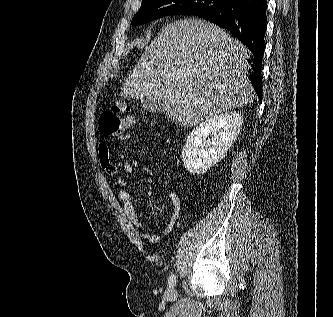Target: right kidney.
<instances>
[{"label": "right kidney", "instance_id": "1", "mask_svg": "<svg viewBox=\"0 0 333 317\" xmlns=\"http://www.w3.org/2000/svg\"><path fill=\"white\" fill-rule=\"evenodd\" d=\"M242 123L241 114L233 111L210 117L194 128L181 154L187 171L202 174L217 164L236 140Z\"/></svg>", "mask_w": 333, "mask_h": 317}]
</instances>
